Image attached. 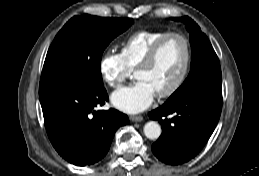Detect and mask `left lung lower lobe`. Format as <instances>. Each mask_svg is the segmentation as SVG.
<instances>
[{
	"label": "left lung lower lobe",
	"mask_w": 259,
	"mask_h": 176,
	"mask_svg": "<svg viewBox=\"0 0 259 176\" xmlns=\"http://www.w3.org/2000/svg\"><path fill=\"white\" fill-rule=\"evenodd\" d=\"M221 110L222 95L202 92L151 111L149 117L162 126L161 136L152 145L153 154L169 165L194 158L212 135Z\"/></svg>",
	"instance_id": "1"
}]
</instances>
